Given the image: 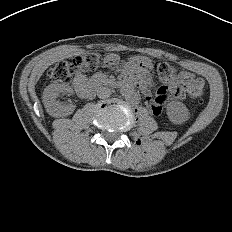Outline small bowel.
Listing matches in <instances>:
<instances>
[{
  "mask_svg": "<svg viewBox=\"0 0 232 232\" xmlns=\"http://www.w3.org/2000/svg\"><path fill=\"white\" fill-rule=\"evenodd\" d=\"M104 63L109 68L114 66L121 68L125 65V70L129 74H136L138 72L142 77H149L154 69L153 64L148 59L140 56L129 59L126 62L125 58L121 55L115 57L109 55L105 58ZM83 82H86L85 76L81 73L77 74L74 79L75 88ZM192 82H199L203 85L201 79L195 78L188 72H181L171 82L158 88L155 98L152 97L149 86L147 85L146 90L143 92L151 111L154 114H159L166 102L171 100H182L186 93V86Z\"/></svg>",
  "mask_w": 232,
  "mask_h": 232,
  "instance_id": "1",
  "label": "small bowel"
}]
</instances>
